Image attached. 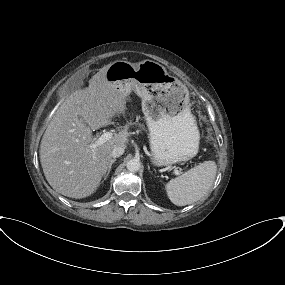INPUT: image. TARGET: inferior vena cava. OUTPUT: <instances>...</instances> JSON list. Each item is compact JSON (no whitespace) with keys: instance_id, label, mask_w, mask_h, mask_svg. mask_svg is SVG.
<instances>
[{"instance_id":"602c4592","label":"inferior vena cava","mask_w":285,"mask_h":285,"mask_svg":"<svg viewBox=\"0 0 285 285\" xmlns=\"http://www.w3.org/2000/svg\"><path fill=\"white\" fill-rule=\"evenodd\" d=\"M124 153V147L122 146H117L113 149L112 151V157L113 158H117V157H120L121 155H123Z\"/></svg>"}]
</instances>
